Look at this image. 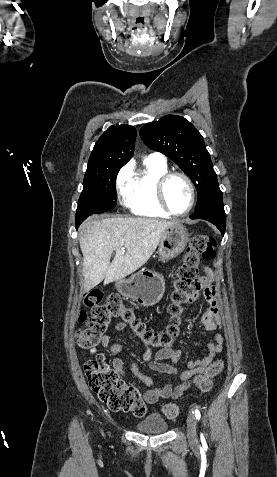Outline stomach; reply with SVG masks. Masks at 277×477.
Instances as JSON below:
<instances>
[{
  "mask_svg": "<svg viewBox=\"0 0 277 477\" xmlns=\"http://www.w3.org/2000/svg\"><path fill=\"white\" fill-rule=\"evenodd\" d=\"M189 241V233L184 225L176 223L163 234L158 254L165 262L181 254ZM117 290L125 297L135 300L142 306H152L160 301L164 294L163 278L152 271L138 272L128 279L116 280Z\"/></svg>",
  "mask_w": 277,
  "mask_h": 477,
  "instance_id": "0dacf381",
  "label": "stomach"
}]
</instances>
